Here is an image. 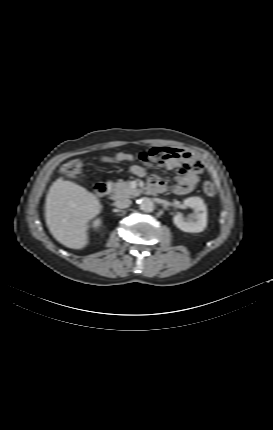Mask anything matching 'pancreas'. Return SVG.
Instances as JSON below:
<instances>
[{
	"mask_svg": "<svg viewBox=\"0 0 273 430\" xmlns=\"http://www.w3.org/2000/svg\"><path fill=\"white\" fill-rule=\"evenodd\" d=\"M109 185L112 187L114 200L130 198L139 192L138 190L133 189L127 181H121L117 183L110 182Z\"/></svg>",
	"mask_w": 273,
	"mask_h": 430,
	"instance_id": "obj_1",
	"label": "pancreas"
}]
</instances>
